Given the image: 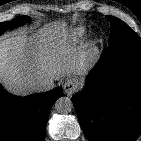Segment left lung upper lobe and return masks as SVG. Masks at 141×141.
<instances>
[{
    "label": "left lung upper lobe",
    "mask_w": 141,
    "mask_h": 141,
    "mask_svg": "<svg viewBox=\"0 0 141 141\" xmlns=\"http://www.w3.org/2000/svg\"><path fill=\"white\" fill-rule=\"evenodd\" d=\"M111 23V36L112 41L110 45H141V38L132 30L127 24L118 18L107 16Z\"/></svg>",
    "instance_id": "obj_1"
}]
</instances>
